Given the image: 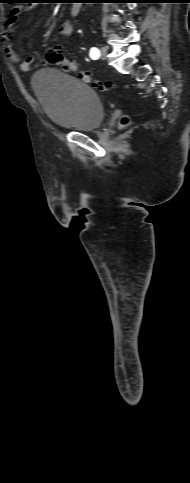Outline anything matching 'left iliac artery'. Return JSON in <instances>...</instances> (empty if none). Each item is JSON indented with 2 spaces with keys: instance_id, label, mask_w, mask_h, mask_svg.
<instances>
[{
  "instance_id": "44dca946",
  "label": "left iliac artery",
  "mask_w": 190,
  "mask_h": 483,
  "mask_svg": "<svg viewBox=\"0 0 190 483\" xmlns=\"http://www.w3.org/2000/svg\"><path fill=\"white\" fill-rule=\"evenodd\" d=\"M100 56V51L96 47H92L90 50V57L92 59H98Z\"/></svg>"
}]
</instances>
